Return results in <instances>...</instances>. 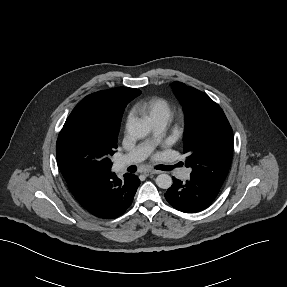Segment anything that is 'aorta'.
<instances>
[{
  "label": "aorta",
  "mask_w": 287,
  "mask_h": 287,
  "mask_svg": "<svg viewBox=\"0 0 287 287\" xmlns=\"http://www.w3.org/2000/svg\"><path fill=\"white\" fill-rule=\"evenodd\" d=\"M128 134L135 139L146 137L150 132V127L141 121L134 122L128 126ZM156 184L159 188L168 189L172 185V178L168 174H160L156 178Z\"/></svg>",
  "instance_id": "obj_1"
}]
</instances>
